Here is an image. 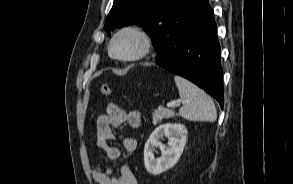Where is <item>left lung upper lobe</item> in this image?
<instances>
[{
	"mask_svg": "<svg viewBox=\"0 0 293 184\" xmlns=\"http://www.w3.org/2000/svg\"><path fill=\"white\" fill-rule=\"evenodd\" d=\"M183 0H114L104 30L110 35L115 28L141 25L150 35L157 53L163 49L170 18Z\"/></svg>",
	"mask_w": 293,
	"mask_h": 184,
	"instance_id": "1",
	"label": "left lung upper lobe"
}]
</instances>
